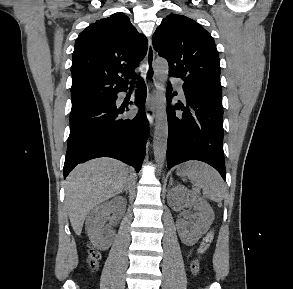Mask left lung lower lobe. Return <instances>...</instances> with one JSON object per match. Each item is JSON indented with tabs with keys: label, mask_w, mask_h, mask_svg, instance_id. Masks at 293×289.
<instances>
[{
	"label": "left lung lower lobe",
	"mask_w": 293,
	"mask_h": 289,
	"mask_svg": "<svg viewBox=\"0 0 293 289\" xmlns=\"http://www.w3.org/2000/svg\"><path fill=\"white\" fill-rule=\"evenodd\" d=\"M172 87L168 84L167 101L171 102ZM187 104L168 107V169L176 164L199 160L214 167L226 180L223 153L222 94L211 89L183 84ZM176 95L175 93H173ZM183 113H176L175 110Z\"/></svg>",
	"instance_id": "0a47b994"
}]
</instances>
